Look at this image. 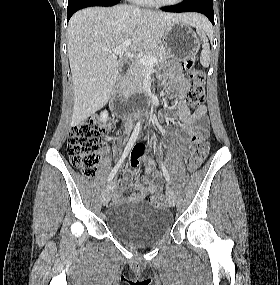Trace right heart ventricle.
Returning <instances> with one entry per match:
<instances>
[{
  "label": "right heart ventricle",
  "instance_id": "right-heart-ventricle-1",
  "mask_svg": "<svg viewBox=\"0 0 280 285\" xmlns=\"http://www.w3.org/2000/svg\"><path fill=\"white\" fill-rule=\"evenodd\" d=\"M139 4H142V5H149L150 4V1L149 0H136Z\"/></svg>",
  "mask_w": 280,
  "mask_h": 285
}]
</instances>
